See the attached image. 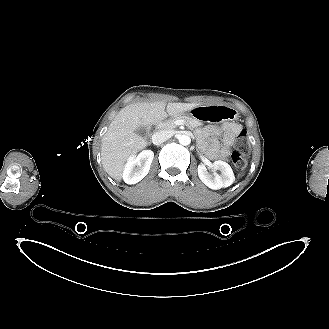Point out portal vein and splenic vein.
<instances>
[{
    "label": "portal vein and splenic vein",
    "instance_id": "obj_1",
    "mask_svg": "<svg viewBox=\"0 0 329 329\" xmlns=\"http://www.w3.org/2000/svg\"><path fill=\"white\" fill-rule=\"evenodd\" d=\"M179 124H182V122H181V121H179Z\"/></svg>",
    "mask_w": 329,
    "mask_h": 329
}]
</instances>
